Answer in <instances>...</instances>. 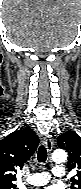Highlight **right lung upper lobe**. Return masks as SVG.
I'll return each instance as SVG.
<instances>
[{"label": "right lung upper lobe", "mask_w": 81, "mask_h": 189, "mask_svg": "<svg viewBox=\"0 0 81 189\" xmlns=\"http://www.w3.org/2000/svg\"><path fill=\"white\" fill-rule=\"evenodd\" d=\"M39 138L30 129L16 130L0 141V186L15 185L18 168L33 155Z\"/></svg>", "instance_id": "obj_1"}]
</instances>
